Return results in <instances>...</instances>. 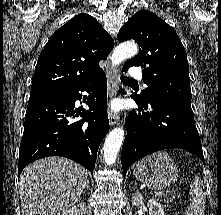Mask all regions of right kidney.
Instances as JSON below:
<instances>
[{
	"label": "right kidney",
	"instance_id": "ca27d5eb",
	"mask_svg": "<svg viewBox=\"0 0 221 215\" xmlns=\"http://www.w3.org/2000/svg\"><path fill=\"white\" fill-rule=\"evenodd\" d=\"M86 213V205L85 203L81 202L72 208L66 210L61 215H85Z\"/></svg>",
	"mask_w": 221,
	"mask_h": 215
}]
</instances>
